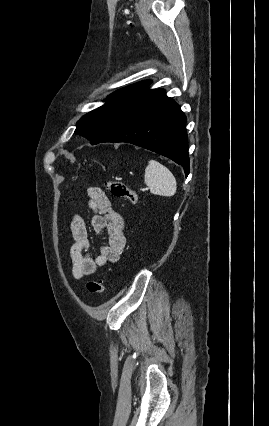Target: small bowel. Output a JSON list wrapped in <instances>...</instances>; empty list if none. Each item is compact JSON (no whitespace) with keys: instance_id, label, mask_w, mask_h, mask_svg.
<instances>
[{"instance_id":"c3829d8e","label":"small bowel","mask_w":269,"mask_h":426,"mask_svg":"<svg viewBox=\"0 0 269 426\" xmlns=\"http://www.w3.org/2000/svg\"><path fill=\"white\" fill-rule=\"evenodd\" d=\"M87 207L93 213L90 224L93 232L105 236L106 242L98 255L90 254V240L84 220L74 215L69 223L73 238L70 249L72 275L80 281L93 275L99 267L119 261L127 242L122 216L112 207L105 191L100 187L87 189Z\"/></svg>"}]
</instances>
